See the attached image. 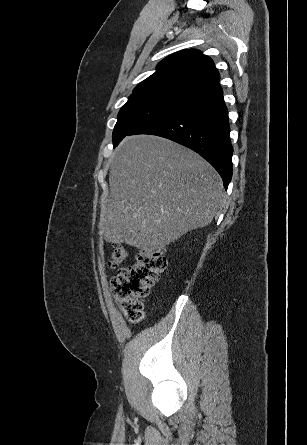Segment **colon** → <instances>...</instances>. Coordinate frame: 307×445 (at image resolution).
Masks as SVG:
<instances>
[{
  "label": "colon",
  "instance_id": "5ec220e1",
  "mask_svg": "<svg viewBox=\"0 0 307 445\" xmlns=\"http://www.w3.org/2000/svg\"><path fill=\"white\" fill-rule=\"evenodd\" d=\"M127 257L128 250L122 244H115L108 265L119 271L111 281V291L127 319L138 322L144 317L143 299L165 270L167 260L160 250L143 251L132 264L120 267Z\"/></svg>",
  "mask_w": 307,
  "mask_h": 445
}]
</instances>
